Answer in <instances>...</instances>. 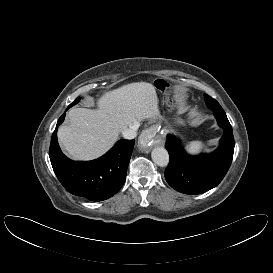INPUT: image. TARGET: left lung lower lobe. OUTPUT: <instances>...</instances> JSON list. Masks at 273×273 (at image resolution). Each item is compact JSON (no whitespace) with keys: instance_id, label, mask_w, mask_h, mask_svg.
<instances>
[{"instance_id":"obj_1","label":"left lung lower lobe","mask_w":273,"mask_h":273,"mask_svg":"<svg viewBox=\"0 0 273 273\" xmlns=\"http://www.w3.org/2000/svg\"><path fill=\"white\" fill-rule=\"evenodd\" d=\"M224 134L220 146L211 154L189 156L179 140L168 135L165 144L170 162L165 179L175 190L185 194H201L217 186L226 175L233 158L234 137L226 113L214 112Z\"/></svg>"}]
</instances>
